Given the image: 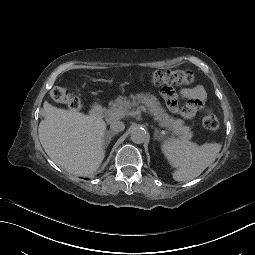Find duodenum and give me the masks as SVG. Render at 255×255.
<instances>
[{"label": "duodenum", "mask_w": 255, "mask_h": 255, "mask_svg": "<svg viewBox=\"0 0 255 255\" xmlns=\"http://www.w3.org/2000/svg\"><path fill=\"white\" fill-rule=\"evenodd\" d=\"M89 114L91 118L99 119L103 115V107L100 104L95 103L92 105Z\"/></svg>", "instance_id": "obj_1"}]
</instances>
